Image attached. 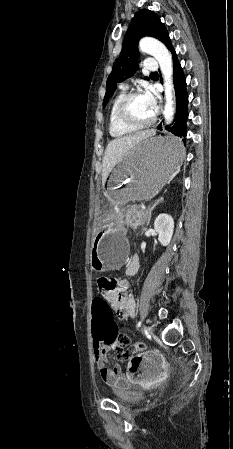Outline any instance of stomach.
Instances as JSON below:
<instances>
[{
  "mask_svg": "<svg viewBox=\"0 0 233 449\" xmlns=\"http://www.w3.org/2000/svg\"><path fill=\"white\" fill-rule=\"evenodd\" d=\"M184 148L177 137H149L136 144L110 172L105 195L113 204L153 198L183 160ZM91 268L117 270L128 254L123 223H97Z\"/></svg>",
  "mask_w": 233,
  "mask_h": 449,
  "instance_id": "obj_1",
  "label": "stomach"
}]
</instances>
